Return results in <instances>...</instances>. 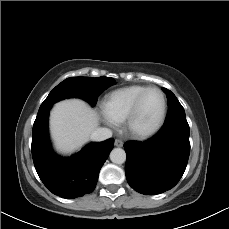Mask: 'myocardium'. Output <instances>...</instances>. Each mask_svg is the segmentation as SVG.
I'll return each instance as SVG.
<instances>
[{
  "label": "myocardium",
  "mask_w": 229,
  "mask_h": 229,
  "mask_svg": "<svg viewBox=\"0 0 229 229\" xmlns=\"http://www.w3.org/2000/svg\"><path fill=\"white\" fill-rule=\"evenodd\" d=\"M151 91H157L161 95L162 98L161 112L158 119L151 127L144 130H138L135 128V120L138 115V111L142 100ZM166 111H167V102L162 90H160L157 87H149L141 94H139L138 97L135 99L134 103L132 104L130 111L125 119V129L127 133L135 139H146L148 137H151L154 134H156L163 126L166 117Z\"/></svg>",
  "instance_id": "f54148a6"
}]
</instances>
